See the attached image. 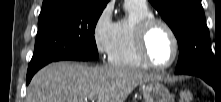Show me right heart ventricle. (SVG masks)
<instances>
[{
    "instance_id": "obj_1",
    "label": "right heart ventricle",
    "mask_w": 221,
    "mask_h": 102,
    "mask_svg": "<svg viewBox=\"0 0 221 102\" xmlns=\"http://www.w3.org/2000/svg\"><path fill=\"white\" fill-rule=\"evenodd\" d=\"M126 15L116 22V30L111 53L110 63L123 66L143 68L135 47V32L138 24L149 17H154L147 4L133 1L125 2Z\"/></svg>"
}]
</instances>
